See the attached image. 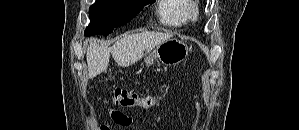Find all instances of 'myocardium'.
I'll use <instances>...</instances> for the list:
<instances>
[{"instance_id":"f54148a6","label":"myocardium","mask_w":299,"mask_h":130,"mask_svg":"<svg viewBox=\"0 0 299 130\" xmlns=\"http://www.w3.org/2000/svg\"><path fill=\"white\" fill-rule=\"evenodd\" d=\"M198 16V8L196 5H190L189 10H188V17L191 20H196Z\"/></svg>"}]
</instances>
